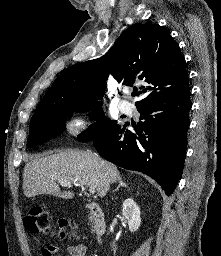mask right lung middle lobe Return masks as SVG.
Returning <instances> with one entry per match:
<instances>
[{
  "label": "right lung middle lobe",
  "mask_w": 221,
  "mask_h": 256,
  "mask_svg": "<svg viewBox=\"0 0 221 256\" xmlns=\"http://www.w3.org/2000/svg\"><path fill=\"white\" fill-rule=\"evenodd\" d=\"M91 111V118L97 120L94 124L78 136L82 142L90 141L112 128L116 121L104 117L101 103L74 102L69 103L64 99L56 100L44 107L35 110L30 122V133L27 147L40 145L52 137L58 136L65 129L67 117L72 112Z\"/></svg>",
  "instance_id": "obj_1"
}]
</instances>
